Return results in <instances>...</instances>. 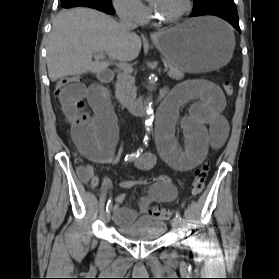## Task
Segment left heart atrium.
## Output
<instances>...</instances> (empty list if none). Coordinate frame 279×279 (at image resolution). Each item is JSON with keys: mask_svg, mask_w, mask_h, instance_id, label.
<instances>
[{"mask_svg": "<svg viewBox=\"0 0 279 279\" xmlns=\"http://www.w3.org/2000/svg\"><path fill=\"white\" fill-rule=\"evenodd\" d=\"M155 1H156V0H150V2H151V4H152L153 7H154V5H155Z\"/></svg>", "mask_w": 279, "mask_h": 279, "instance_id": "obj_1", "label": "left heart atrium"}]
</instances>
